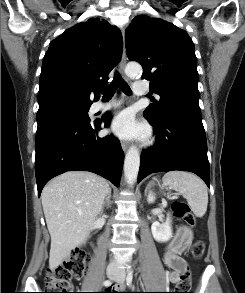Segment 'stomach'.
Returning a JSON list of instances; mask_svg holds the SVG:
<instances>
[{
    "label": "stomach",
    "mask_w": 245,
    "mask_h": 293,
    "mask_svg": "<svg viewBox=\"0 0 245 293\" xmlns=\"http://www.w3.org/2000/svg\"><path fill=\"white\" fill-rule=\"evenodd\" d=\"M183 235L186 237V238H190L191 236V232L189 230H185V232L183 233Z\"/></svg>",
    "instance_id": "0dacf381"
}]
</instances>
